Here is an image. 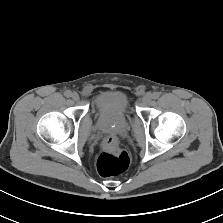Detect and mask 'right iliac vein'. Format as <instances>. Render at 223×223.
Wrapping results in <instances>:
<instances>
[{"mask_svg": "<svg viewBox=\"0 0 223 223\" xmlns=\"http://www.w3.org/2000/svg\"><path fill=\"white\" fill-rule=\"evenodd\" d=\"M72 99L74 101H78L79 100V94L77 92H73L71 95Z\"/></svg>", "mask_w": 223, "mask_h": 223, "instance_id": "obj_1", "label": "right iliac vein"}]
</instances>
